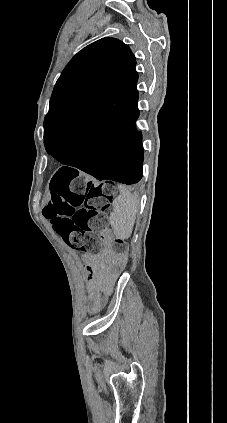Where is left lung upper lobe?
<instances>
[{
    "instance_id": "5c2ea615",
    "label": "left lung upper lobe",
    "mask_w": 227,
    "mask_h": 423,
    "mask_svg": "<svg viewBox=\"0 0 227 423\" xmlns=\"http://www.w3.org/2000/svg\"><path fill=\"white\" fill-rule=\"evenodd\" d=\"M130 48L115 38H103L78 52L57 80L44 120L46 146L81 134L107 114L139 112L138 73Z\"/></svg>"
}]
</instances>
